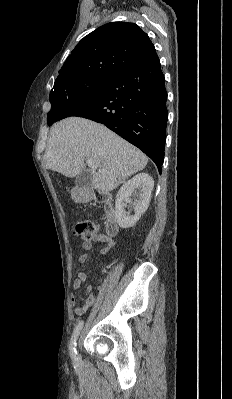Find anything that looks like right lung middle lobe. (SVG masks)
<instances>
[{"instance_id": "right-lung-middle-lobe-1", "label": "right lung middle lobe", "mask_w": 232, "mask_h": 399, "mask_svg": "<svg viewBox=\"0 0 232 399\" xmlns=\"http://www.w3.org/2000/svg\"><path fill=\"white\" fill-rule=\"evenodd\" d=\"M108 82L109 78H86L73 83L62 93L50 95L51 110L47 115L48 126H51L70 104H76L93 97Z\"/></svg>"}]
</instances>
